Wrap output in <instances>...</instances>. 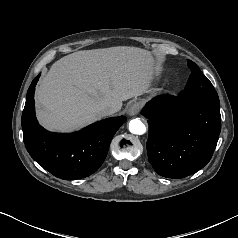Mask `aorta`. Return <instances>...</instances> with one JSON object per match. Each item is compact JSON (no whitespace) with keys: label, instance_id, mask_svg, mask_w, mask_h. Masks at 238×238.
Returning <instances> with one entry per match:
<instances>
[{"label":"aorta","instance_id":"1","mask_svg":"<svg viewBox=\"0 0 238 238\" xmlns=\"http://www.w3.org/2000/svg\"><path fill=\"white\" fill-rule=\"evenodd\" d=\"M129 131L136 135H143L146 132V126L139 118H135L129 122Z\"/></svg>","mask_w":238,"mask_h":238}]
</instances>
